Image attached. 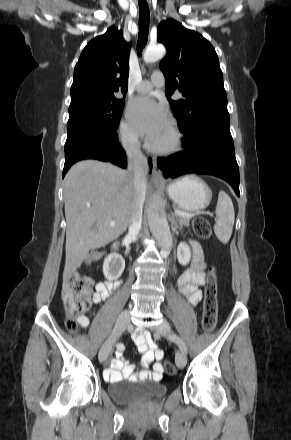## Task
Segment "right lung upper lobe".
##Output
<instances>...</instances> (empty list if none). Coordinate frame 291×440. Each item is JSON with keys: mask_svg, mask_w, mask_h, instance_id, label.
Returning a JSON list of instances; mask_svg holds the SVG:
<instances>
[{"mask_svg": "<svg viewBox=\"0 0 291 440\" xmlns=\"http://www.w3.org/2000/svg\"><path fill=\"white\" fill-rule=\"evenodd\" d=\"M130 44L122 31L110 27L83 49L74 69L71 102L88 97L124 95L128 87Z\"/></svg>", "mask_w": 291, "mask_h": 440, "instance_id": "1", "label": "right lung upper lobe"}]
</instances>
